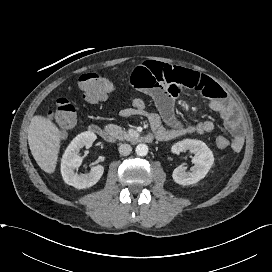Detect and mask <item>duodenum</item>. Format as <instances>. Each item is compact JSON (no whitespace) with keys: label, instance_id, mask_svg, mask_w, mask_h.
I'll use <instances>...</instances> for the list:
<instances>
[{"label":"duodenum","instance_id":"obj_1","mask_svg":"<svg viewBox=\"0 0 272 272\" xmlns=\"http://www.w3.org/2000/svg\"><path fill=\"white\" fill-rule=\"evenodd\" d=\"M89 131L96 134L107 142L114 141L113 135L105 128L98 125H91ZM154 139H157L154 133L140 134L132 139L135 143H151Z\"/></svg>","mask_w":272,"mask_h":272}]
</instances>
